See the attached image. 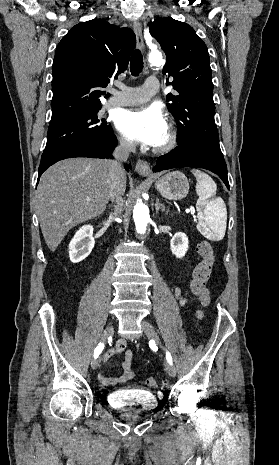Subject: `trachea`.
Here are the masks:
<instances>
[{"label":"trachea","instance_id":"obj_1","mask_svg":"<svg viewBox=\"0 0 279 465\" xmlns=\"http://www.w3.org/2000/svg\"><path fill=\"white\" fill-rule=\"evenodd\" d=\"M143 69V56L140 50L133 51L130 59V70L133 76H138Z\"/></svg>","mask_w":279,"mask_h":465}]
</instances>
